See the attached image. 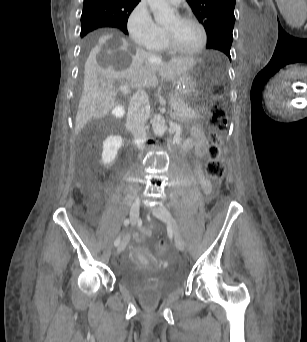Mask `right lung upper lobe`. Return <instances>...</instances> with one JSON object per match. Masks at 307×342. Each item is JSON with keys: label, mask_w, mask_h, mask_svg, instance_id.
Returning a JSON list of instances; mask_svg holds the SVG:
<instances>
[{"label": "right lung upper lobe", "mask_w": 307, "mask_h": 342, "mask_svg": "<svg viewBox=\"0 0 307 342\" xmlns=\"http://www.w3.org/2000/svg\"><path fill=\"white\" fill-rule=\"evenodd\" d=\"M140 0H84L83 12L94 11L107 15L111 23L107 27L127 31L130 13Z\"/></svg>", "instance_id": "right-lung-upper-lobe-1"}]
</instances>
